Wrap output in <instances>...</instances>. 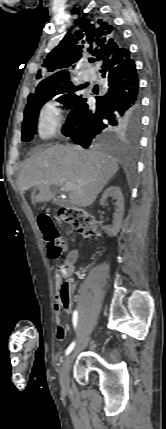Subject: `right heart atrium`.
<instances>
[{
    "mask_svg": "<svg viewBox=\"0 0 166 429\" xmlns=\"http://www.w3.org/2000/svg\"><path fill=\"white\" fill-rule=\"evenodd\" d=\"M62 114V103L56 98L43 105L38 118V132L43 138H48L58 131Z\"/></svg>",
    "mask_w": 166,
    "mask_h": 429,
    "instance_id": "1",
    "label": "right heart atrium"
}]
</instances>
